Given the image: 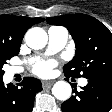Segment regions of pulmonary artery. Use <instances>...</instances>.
<instances>
[{
    "instance_id": "e3ab8cb5",
    "label": "pulmonary artery",
    "mask_w": 112,
    "mask_h": 112,
    "mask_svg": "<svg viewBox=\"0 0 112 112\" xmlns=\"http://www.w3.org/2000/svg\"><path fill=\"white\" fill-rule=\"evenodd\" d=\"M48 53H55L60 51L67 43L68 39V31L64 27H50L48 30ZM12 73H18L21 71L20 68H12ZM87 79L82 78L79 82L81 86H85L87 84Z\"/></svg>"
}]
</instances>
